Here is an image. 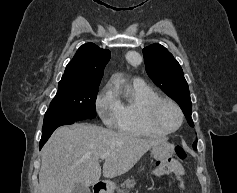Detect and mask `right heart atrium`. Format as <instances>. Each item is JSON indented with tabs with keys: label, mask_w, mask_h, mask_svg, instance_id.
I'll return each mask as SVG.
<instances>
[{
	"label": "right heart atrium",
	"mask_w": 237,
	"mask_h": 193,
	"mask_svg": "<svg viewBox=\"0 0 237 193\" xmlns=\"http://www.w3.org/2000/svg\"><path fill=\"white\" fill-rule=\"evenodd\" d=\"M95 105L101 119L107 125L114 126L118 105L109 85H106L97 95Z\"/></svg>",
	"instance_id": "1"
}]
</instances>
